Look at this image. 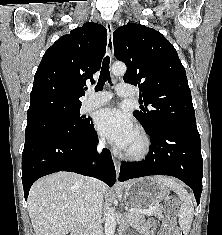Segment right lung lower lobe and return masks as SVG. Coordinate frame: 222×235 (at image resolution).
Here are the masks:
<instances>
[{
	"instance_id": "obj_1",
	"label": "right lung lower lobe",
	"mask_w": 222,
	"mask_h": 235,
	"mask_svg": "<svg viewBox=\"0 0 222 235\" xmlns=\"http://www.w3.org/2000/svg\"><path fill=\"white\" fill-rule=\"evenodd\" d=\"M97 133L92 121L74 133L51 134L25 143L22 153V183L25 199L32 184L42 176L69 171L96 177L109 186L116 181L115 167L107 149L98 155ZM96 159V165L91 163Z\"/></svg>"
}]
</instances>
